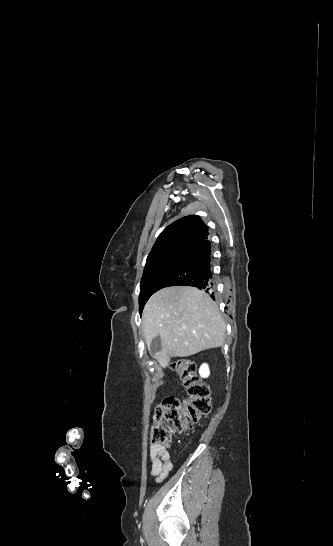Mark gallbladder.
<instances>
[{"instance_id":"1","label":"gallbladder","mask_w":333,"mask_h":546,"mask_svg":"<svg viewBox=\"0 0 333 546\" xmlns=\"http://www.w3.org/2000/svg\"><path fill=\"white\" fill-rule=\"evenodd\" d=\"M162 348L161 339L159 336L155 337L150 345V352L152 355L158 353Z\"/></svg>"}]
</instances>
